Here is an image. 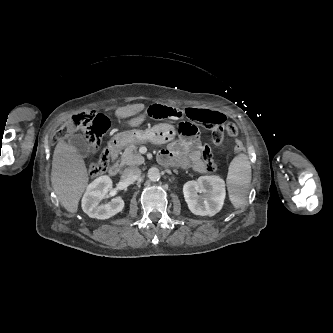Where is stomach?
Segmentation results:
<instances>
[{"instance_id":"obj_1","label":"stomach","mask_w":333,"mask_h":333,"mask_svg":"<svg viewBox=\"0 0 333 333\" xmlns=\"http://www.w3.org/2000/svg\"><path fill=\"white\" fill-rule=\"evenodd\" d=\"M174 135V126L170 124H158L153 127H148L145 130L131 129L117 133L112 137L111 144L117 148L147 142L165 144L172 141Z\"/></svg>"}]
</instances>
